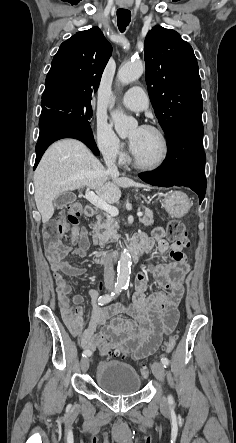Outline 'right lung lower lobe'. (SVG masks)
I'll list each match as a JSON object with an SVG mask.
<instances>
[{"label":"right lung lower lobe","instance_id":"obj_1","mask_svg":"<svg viewBox=\"0 0 236 443\" xmlns=\"http://www.w3.org/2000/svg\"><path fill=\"white\" fill-rule=\"evenodd\" d=\"M39 127L40 134L35 148L36 160L34 169L48 146L62 138L78 139L91 149L94 154L99 155L91 128L73 120L64 112L54 109L42 111Z\"/></svg>","mask_w":236,"mask_h":443}]
</instances>
